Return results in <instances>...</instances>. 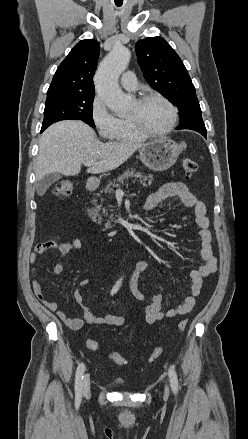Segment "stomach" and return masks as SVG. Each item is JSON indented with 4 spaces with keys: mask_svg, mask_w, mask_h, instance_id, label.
Instances as JSON below:
<instances>
[{
    "mask_svg": "<svg viewBox=\"0 0 248 439\" xmlns=\"http://www.w3.org/2000/svg\"><path fill=\"white\" fill-rule=\"evenodd\" d=\"M182 146L168 138L155 139L139 148L142 163L153 171H165L175 164ZM95 183L99 181L94 179Z\"/></svg>",
    "mask_w": 248,
    "mask_h": 439,
    "instance_id": "stomach-1",
    "label": "stomach"
}]
</instances>
